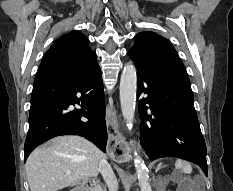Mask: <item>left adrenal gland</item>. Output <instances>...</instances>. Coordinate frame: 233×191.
<instances>
[{"instance_id": "obj_1", "label": "left adrenal gland", "mask_w": 233, "mask_h": 191, "mask_svg": "<svg viewBox=\"0 0 233 191\" xmlns=\"http://www.w3.org/2000/svg\"><path fill=\"white\" fill-rule=\"evenodd\" d=\"M161 168V164L158 165L156 172Z\"/></svg>"}]
</instances>
